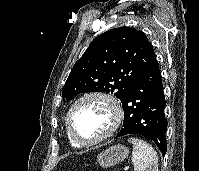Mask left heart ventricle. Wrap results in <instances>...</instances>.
I'll return each instance as SVG.
<instances>
[{
  "mask_svg": "<svg viewBox=\"0 0 199 171\" xmlns=\"http://www.w3.org/2000/svg\"><path fill=\"white\" fill-rule=\"evenodd\" d=\"M75 134L82 140L100 137L112 124V113L107 104L98 99L82 102L71 118Z\"/></svg>",
  "mask_w": 199,
  "mask_h": 171,
  "instance_id": "obj_1",
  "label": "left heart ventricle"
}]
</instances>
